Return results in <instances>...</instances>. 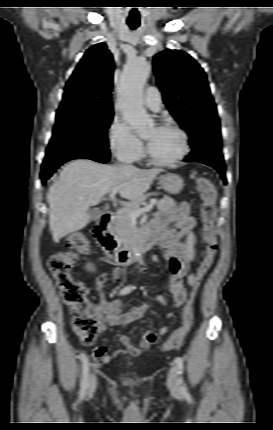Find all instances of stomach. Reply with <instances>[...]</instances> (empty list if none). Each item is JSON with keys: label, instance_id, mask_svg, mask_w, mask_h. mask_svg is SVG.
<instances>
[{"label": "stomach", "instance_id": "1", "mask_svg": "<svg viewBox=\"0 0 273 430\" xmlns=\"http://www.w3.org/2000/svg\"><path fill=\"white\" fill-rule=\"evenodd\" d=\"M158 183L162 189L170 194H178L183 186V179L174 173H166L158 178Z\"/></svg>", "mask_w": 273, "mask_h": 430}]
</instances>
